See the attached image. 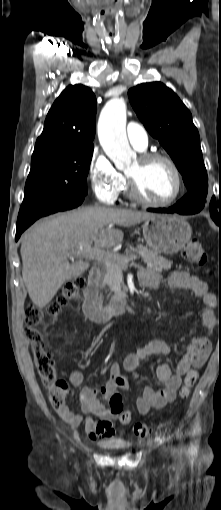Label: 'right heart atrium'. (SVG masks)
<instances>
[{
	"mask_svg": "<svg viewBox=\"0 0 221 510\" xmlns=\"http://www.w3.org/2000/svg\"><path fill=\"white\" fill-rule=\"evenodd\" d=\"M89 179L94 194L104 204H113L125 186L124 176L98 149L91 156Z\"/></svg>",
	"mask_w": 221,
	"mask_h": 510,
	"instance_id": "1",
	"label": "right heart atrium"
}]
</instances>
